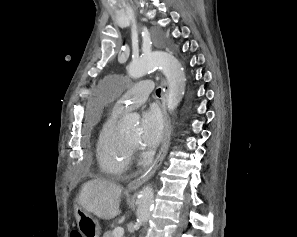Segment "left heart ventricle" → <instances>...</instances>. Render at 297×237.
I'll return each instance as SVG.
<instances>
[{
  "label": "left heart ventricle",
  "mask_w": 297,
  "mask_h": 237,
  "mask_svg": "<svg viewBox=\"0 0 297 237\" xmlns=\"http://www.w3.org/2000/svg\"><path fill=\"white\" fill-rule=\"evenodd\" d=\"M123 137H125L128 141L137 144V138H138V130L137 128H133L129 131H127Z\"/></svg>",
  "instance_id": "b2bd125f"
}]
</instances>
